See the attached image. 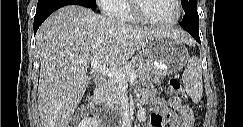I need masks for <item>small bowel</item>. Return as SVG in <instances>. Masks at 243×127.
Here are the masks:
<instances>
[{
  "mask_svg": "<svg viewBox=\"0 0 243 127\" xmlns=\"http://www.w3.org/2000/svg\"><path fill=\"white\" fill-rule=\"evenodd\" d=\"M147 104L154 113L150 118L149 127H193L194 114L181 98L171 97L168 101L160 99L150 91L145 92Z\"/></svg>",
  "mask_w": 243,
  "mask_h": 127,
  "instance_id": "c3829d8e",
  "label": "small bowel"
}]
</instances>
